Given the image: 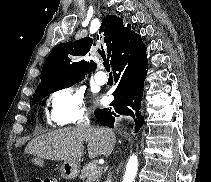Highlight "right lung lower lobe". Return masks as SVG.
I'll use <instances>...</instances> for the list:
<instances>
[{
    "label": "right lung lower lobe",
    "instance_id": "obj_1",
    "mask_svg": "<svg viewBox=\"0 0 211 182\" xmlns=\"http://www.w3.org/2000/svg\"><path fill=\"white\" fill-rule=\"evenodd\" d=\"M148 67L146 47L140 36L134 37L119 51L114 66L117 88L110 107L96 109L95 117L103 125L114 127L116 114L130 115L135 119L137 132L144 117L139 112L143 95V82Z\"/></svg>",
    "mask_w": 211,
    "mask_h": 182
}]
</instances>
